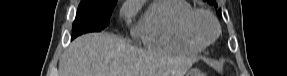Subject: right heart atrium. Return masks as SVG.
Returning a JSON list of instances; mask_svg holds the SVG:
<instances>
[{"mask_svg":"<svg viewBox=\"0 0 287 76\" xmlns=\"http://www.w3.org/2000/svg\"><path fill=\"white\" fill-rule=\"evenodd\" d=\"M137 6L132 2L128 3L124 8V13L127 16H132L137 11Z\"/></svg>","mask_w":287,"mask_h":76,"instance_id":"obj_1","label":"right heart atrium"}]
</instances>
